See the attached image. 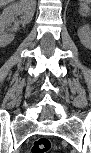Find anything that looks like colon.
Instances as JSON below:
<instances>
[{
    "label": "colon",
    "instance_id": "obj_1",
    "mask_svg": "<svg viewBox=\"0 0 91 153\" xmlns=\"http://www.w3.org/2000/svg\"><path fill=\"white\" fill-rule=\"evenodd\" d=\"M51 150V141L47 137L36 139L31 146V153H48Z\"/></svg>",
    "mask_w": 91,
    "mask_h": 153
}]
</instances>
